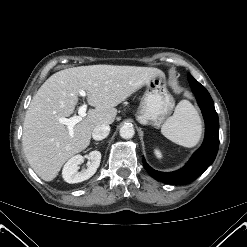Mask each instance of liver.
Here are the masks:
<instances>
[{
    "label": "liver",
    "instance_id": "obj_1",
    "mask_svg": "<svg viewBox=\"0 0 247 247\" xmlns=\"http://www.w3.org/2000/svg\"><path fill=\"white\" fill-rule=\"evenodd\" d=\"M162 71L151 67L90 65L61 70L50 76L34 95L25 115L22 144L35 173L52 181L63 164L88 147L93 129L112 124L118 104ZM87 93V116L70 135L59 117H69L79 91Z\"/></svg>",
    "mask_w": 247,
    "mask_h": 247
}]
</instances>
